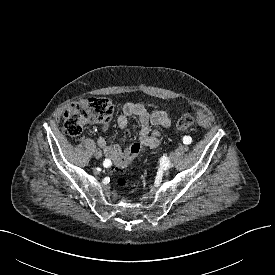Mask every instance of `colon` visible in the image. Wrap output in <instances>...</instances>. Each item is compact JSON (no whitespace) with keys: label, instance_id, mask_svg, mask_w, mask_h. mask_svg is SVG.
Listing matches in <instances>:
<instances>
[{"label":"colon","instance_id":"5ec220e1","mask_svg":"<svg viewBox=\"0 0 275 275\" xmlns=\"http://www.w3.org/2000/svg\"><path fill=\"white\" fill-rule=\"evenodd\" d=\"M113 111V104L107 98L90 97L80 100L65 111L64 131L70 136H77L87 123L107 124L112 118ZM195 122V111L189 109L178 119L176 126L180 130H185L193 126ZM141 149L140 144H133L128 157L114 162V170L121 171L124 169L140 153ZM116 184L120 188H125L128 185V180L119 177Z\"/></svg>","mask_w":275,"mask_h":275}]
</instances>
